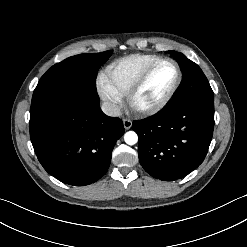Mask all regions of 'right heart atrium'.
I'll return each mask as SVG.
<instances>
[{"instance_id": "1", "label": "right heart atrium", "mask_w": 247, "mask_h": 247, "mask_svg": "<svg viewBox=\"0 0 247 247\" xmlns=\"http://www.w3.org/2000/svg\"><path fill=\"white\" fill-rule=\"evenodd\" d=\"M96 87L99 95L105 101L111 102L113 104H117L121 96L115 90V88L110 83L109 79L104 73H100L96 79Z\"/></svg>"}]
</instances>
